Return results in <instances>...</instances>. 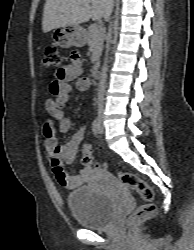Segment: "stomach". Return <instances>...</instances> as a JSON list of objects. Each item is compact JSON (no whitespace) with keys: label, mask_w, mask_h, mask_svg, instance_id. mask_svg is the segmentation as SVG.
Instances as JSON below:
<instances>
[{"label":"stomach","mask_w":194,"mask_h":250,"mask_svg":"<svg viewBox=\"0 0 194 250\" xmlns=\"http://www.w3.org/2000/svg\"><path fill=\"white\" fill-rule=\"evenodd\" d=\"M54 41L62 48L71 46L82 47L85 42V30L80 25H69L56 28L54 31Z\"/></svg>","instance_id":"1"}]
</instances>
